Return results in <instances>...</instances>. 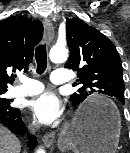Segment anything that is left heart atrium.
I'll use <instances>...</instances> for the list:
<instances>
[{
    "label": "left heart atrium",
    "instance_id": "39dd6f15",
    "mask_svg": "<svg viewBox=\"0 0 130 153\" xmlns=\"http://www.w3.org/2000/svg\"><path fill=\"white\" fill-rule=\"evenodd\" d=\"M28 107L35 119L43 124L55 122L63 113L61 101L52 92H45L32 99Z\"/></svg>",
    "mask_w": 130,
    "mask_h": 153
}]
</instances>
